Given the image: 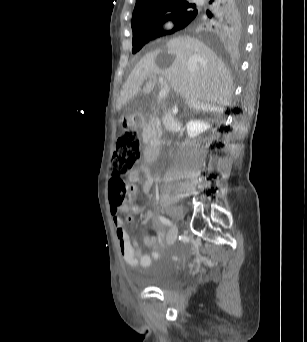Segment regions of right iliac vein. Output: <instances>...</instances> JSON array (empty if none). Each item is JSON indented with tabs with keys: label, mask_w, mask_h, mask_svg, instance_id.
<instances>
[{
	"label": "right iliac vein",
	"mask_w": 307,
	"mask_h": 342,
	"mask_svg": "<svg viewBox=\"0 0 307 342\" xmlns=\"http://www.w3.org/2000/svg\"><path fill=\"white\" fill-rule=\"evenodd\" d=\"M178 230L176 225H173V227L170 229L168 236H167V242L169 244H172L177 239Z\"/></svg>",
	"instance_id": "1"
}]
</instances>
